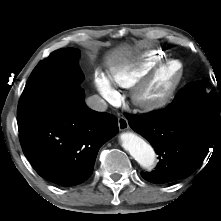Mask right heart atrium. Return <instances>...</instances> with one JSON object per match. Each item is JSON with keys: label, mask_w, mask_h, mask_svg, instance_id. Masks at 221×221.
<instances>
[{"label": "right heart atrium", "mask_w": 221, "mask_h": 221, "mask_svg": "<svg viewBox=\"0 0 221 221\" xmlns=\"http://www.w3.org/2000/svg\"><path fill=\"white\" fill-rule=\"evenodd\" d=\"M95 84L104 99L109 102H113L117 99L118 92L106 74L97 72L95 75Z\"/></svg>", "instance_id": "1"}]
</instances>
